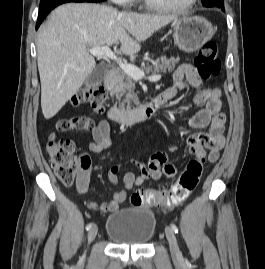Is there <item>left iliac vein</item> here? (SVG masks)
I'll return each mask as SVG.
<instances>
[{
  "mask_svg": "<svg viewBox=\"0 0 265 269\" xmlns=\"http://www.w3.org/2000/svg\"><path fill=\"white\" fill-rule=\"evenodd\" d=\"M165 234L169 242L172 258L179 261L182 258V255L178 247L177 239L174 234V231L170 227H166Z\"/></svg>",
  "mask_w": 265,
  "mask_h": 269,
  "instance_id": "obj_1",
  "label": "left iliac vein"
}]
</instances>
